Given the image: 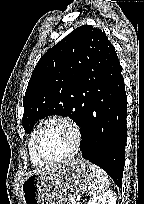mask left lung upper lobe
Instances as JSON below:
<instances>
[{"mask_svg": "<svg viewBox=\"0 0 144 204\" xmlns=\"http://www.w3.org/2000/svg\"><path fill=\"white\" fill-rule=\"evenodd\" d=\"M110 59H118L114 46L103 31L88 25L49 49L38 61L23 98L25 132L54 114L69 116L82 128L96 68Z\"/></svg>", "mask_w": 144, "mask_h": 204, "instance_id": "1", "label": "left lung upper lobe"}]
</instances>
